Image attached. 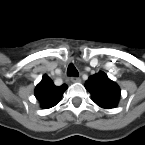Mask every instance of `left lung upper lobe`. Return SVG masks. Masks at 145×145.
Returning a JSON list of instances; mask_svg holds the SVG:
<instances>
[{
  "label": "left lung upper lobe",
  "mask_w": 145,
  "mask_h": 145,
  "mask_svg": "<svg viewBox=\"0 0 145 145\" xmlns=\"http://www.w3.org/2000/svg\"><path fill=\"white\" fill-rule=\"evenodd\" d=\"M85 87L98 106L110 109L117 105L121 93L120 88L104 72H99L90 77L86 81Z\"/></svg>",
  "instance_id": "5c2ea615"
}]
</instances>
